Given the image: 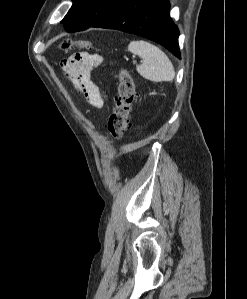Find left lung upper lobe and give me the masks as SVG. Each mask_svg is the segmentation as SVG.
<instances>
[{"mask_svg":"<svg viewBox=\"0 0 247 299\" xmlns=\"http://www.w3.org/2000/svg\"><path fill=\"white\" fill-rule=\"evenodd\" d=\"M73 5L61 21L68 32L82 31L114 10L123 0H72Z\"/></svg>","mask_w":247,"mask_h":299,"instance_id":"left-lung-upper-lobe-1","label":"left lung upper lobe"}]
</instances>
